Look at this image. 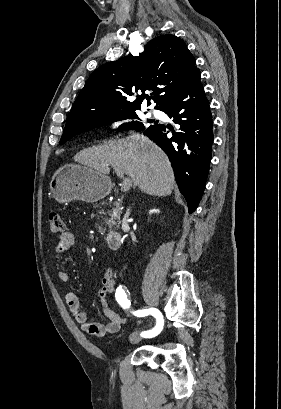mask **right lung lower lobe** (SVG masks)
I'll return each instance as SVG.
<instances>
[{"label":"right lung lower lobe","mask_w":281,"mask_h":409,"mask_svg":"<svg viewBox=\"0 0 281 409\" xmlns=\"http://www.w3.org/2000/svg\"><path fill=\"white\" fill-rule=\"evenodd\" d=\"M200 75L199 70L159 109L173 118L177 126L156 123L144 132L169 156L189 213L195 211L203 194L213 143L211 111Z\"/></svg>","instance_id":"obj_1"}]
</instances>
